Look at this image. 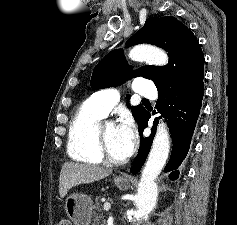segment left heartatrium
<instances>
[{"label": "left heart atrium", "mask_w": 237, "mask_h": 225, "mask_svg": "<svg viewBox=\"0 0 237 225\" xmlns=\"http://www.w3.org/2000/svg\"><path fill=\"white\" fill-rule=\"evenodd\" d=\"M117 135L119 147L124 158L129 157L136 147L137 131L133 119L130 116H124L117 126Z\"/></svg>", "instance_id": "39dd6f15"}]
</instances>
